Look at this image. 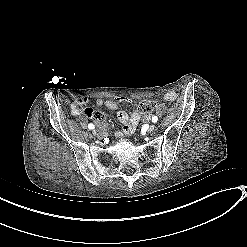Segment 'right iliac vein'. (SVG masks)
<instances>
[{
  "mask_svg": "<svg viewBox=\"0 0 247 247\" xmlns=\"http://www.w3.org/2000/svg\"><path fill=\"white\" fill-rule=\"evenodd\" d=\"M92 133H93V135L100 137V135L98 134V132L96 130H93Z\"/></svg>",
  "mask_w": 247,
  "mask_h": 247,
  "instance_id": "63e3f726",
  "label": "right iliac vein"
}]
</instances>
